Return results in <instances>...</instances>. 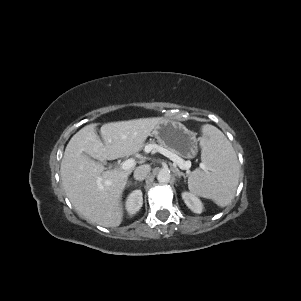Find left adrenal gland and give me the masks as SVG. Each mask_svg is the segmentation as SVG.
<instances>
[{
  "label": "left adrenal gland",
  "mask_w": 301,
  "mask_h": 301,
  "mask_svg": "<svg viewBox=\"0 0 301 301\" xmlns=\"http://www.w3.org/2000/svg\"><path fill=\"white\" fill-rule=\"evenodd\" d=\"M175 173L176 175L180 178L181 176H183L184 178H186V175L182 172H180L177 168H175Z\"/></svg>",
  "instance_id": "1"
}]
</instances>
